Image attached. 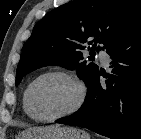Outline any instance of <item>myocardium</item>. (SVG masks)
<instances>
[{
    "label": "myocardium",
    "instance_id": "obj_1",
    "mask_svg": "<svg viewBox=\"0 0 141 139\" xmlns=\"http://www.w3.org/2000/svg\"><path fill=\"white\" fill-rule=\"evenodd\" d=\"M50 76H61L71 80L77 87L78 95L74 104L67 110L51 117H41L37 115L33 110L31 103V94L34 86L40 80ZM86 97H87L86 85L84 81L77 74L66 70H50L40 74L29 84L25 92V105L30 117L33 118L34 120L40 122H53L76 113L85 103Z\"/></svg>",
    "mask_w": 141,
    "mask_h": 139
}]
</instances>
